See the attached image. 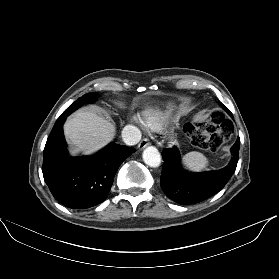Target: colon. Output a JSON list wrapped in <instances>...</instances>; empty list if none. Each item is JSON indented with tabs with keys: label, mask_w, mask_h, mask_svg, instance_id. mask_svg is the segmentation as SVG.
I'll return each mask as SVG.
<instances>
[{
	"label": "colon",
	"mask_w": 279,
	"mask_h": 279,
	"mask_svg": "<svg viewBox=\"0 0 279 279\" xmlns=\"http://www.w3.org/2000/svg\"><path fill=\"white\" fill-rule=\"evenodd\" d=\"M232 123L215 112L205 119L196 120L190 134L192 144L206 150H216L230 138Z\"/></svg>",
	"instance_id": "5ec220e1"
}]
</instances>
